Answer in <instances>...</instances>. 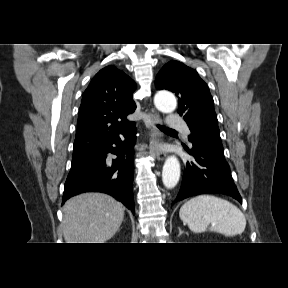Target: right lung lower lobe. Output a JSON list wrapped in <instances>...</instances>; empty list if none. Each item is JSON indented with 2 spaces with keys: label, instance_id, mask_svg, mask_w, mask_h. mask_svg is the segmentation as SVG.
I'll use <instances>...</instances> for the list:
<instances>
[{
  "label": "right lung lower lobe",
  "instance_id": "obj_1",
  "mask_svg": "<svg viewBox=\"0 0 288 288\" xmlns=\"http://www.w3.org/2000/svg\"><path fill=\"white\" fill-rule=\"evenodd\" d=\"M135 133L136 128L132 124L101 146L73 158L62 203L82 192H103L121 201L134 214L132 182ZM109 153L117 158L111 159Z\"/></svg>",
  "mask_w": 288,
  "mask_h": 288
}]
</instances>
